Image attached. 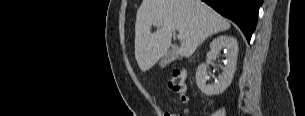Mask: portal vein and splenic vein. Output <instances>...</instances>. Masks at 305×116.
Instances as JSON below:
<instances>
[{
	"mask_svg": "<svg viewBox=\"0 0 305 116\" xmlns=\"http://www.w3.org/2000/svg\"><path fill=\"white\" fill-rule=\"evenodd\" d=\"M178 39H182V35L181 34L178 35Z\"/></svg>",
	"mask_w": 305,
	"mask_h": 116,
	"instance_id": "1",
	"label": "portal vein and splenic vein"
}]
</instances>
